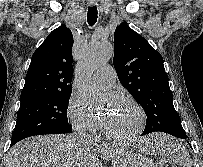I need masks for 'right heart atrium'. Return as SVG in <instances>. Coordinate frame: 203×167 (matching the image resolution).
Returning a JSON list of instances; mask_svg holds the SVG:
<instances>
[{
  "instance_id": "obj_1",
  "label": "right heart atrium",
  "mask_w": 203,
  "mask_h": 167,
  "mask_svg": "<svg viewBox=\"0 0 203 167\" xmlns=\"http://www.w3.org/2000/svg\"><path fill=\"white\" fill-rule=\"evenodd\" d=\"M66 113L74 130L81 133L96 131L98 127L97 120L79 97L72 95L69 98Z\"/></svg>"
}]
</instances>
